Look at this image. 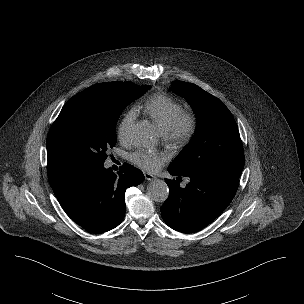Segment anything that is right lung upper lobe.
I'll use <instances>...</instances> for the list:
<instances>
[{"label": "right lung upper lobe", "instance_id": "obj_1", "mask_svg": "<svg viewBox=\"0 0 304 304\" xmlns=\"http://www.w3.org/2000/svg\"><path fill=\"white\" fill-rule=\"evenodd\" d=\"M126 82H106L93 85L81 93L87 92H110L121 87ZM80 94V93H79ZM48 154V179L51 187L58 185L66 179L72 177L76 173L80 172L77 168L62 160L51 151L47 150Z\"/></svg>", "mask_w": 304, "mask_h": 304}]
</instances>
